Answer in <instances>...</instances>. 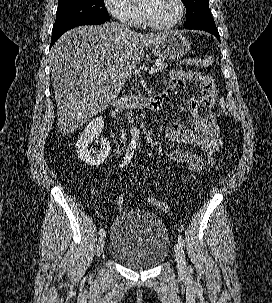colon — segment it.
<instances>
[{
    "label": "colon",
    "mask_w": 272,
    "mask_h": 303,
    "mask_svg": "<svg viewBox=\"0 0 272 303\" xmlns=\"http://www.w3.org/2000/svg\"><path fill=\"white\" fill-rule=\"evenodd\" d=\"M212 58L210 56H205V57H188V58H183L179 63L183 66H194V67H199V68H204V67H209L212 65ZM219 108L222 112L226 113V105H225V100L223 97L220 98L219 100ZM148 201L158 207L161 210L166 211L168 209V206L160 201H158L154 197H149ZM117 204L119 207H122L124 204V200L122 196H119L117 198Z\"/></svg>",
    "instance_id": "1"
}]
</instances>
